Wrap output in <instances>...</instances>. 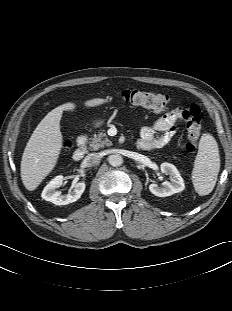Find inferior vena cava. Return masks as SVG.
Returning a JSON list of instances; mask_svg holds the SVG:
<instances>
[{"label":"inferior vena cava","instance_id":"1","mask_svg":"<svg viewBox=\"0 0 232 311\" xmlns=\"http://www.w3.org/2000/svg\"><path fill=\"white\" fill-rule=\"evenodd\" d=\"M101 156L98 153H91L85 157V163L87 166H95L99 164Z\"/></svg>","mask_w":232,"mask_h":311}]
</instances>
